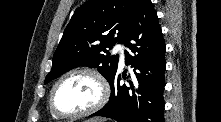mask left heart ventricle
I'll return each instance as SVG.
<instances>
[{
  "label": "left heart ventricle",
  "instance_id": "obj_1",
  "mask_svg": "<svg viewBox=\"0 0 221 122\" xmlns=\"http://www.w3.org/2000/svg\"><path fill=\"white\" fill-rule=\"evenodd\" d=\"M100 89L88 75H74L64 80L55 92V105L64 113H76L91 107L99 98Z\"/></svg>",
  "mask_w": 221,
  "mask_h": 122
}]
</instances>
